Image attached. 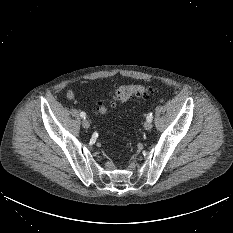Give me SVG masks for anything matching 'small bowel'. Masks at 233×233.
Here are the masks:
<instances>
[{
  "label": "small bowel",
  "mask_w": 233,
  "mask_h": 233,
  "mask_svg": "<svg viewBox=\"0 0 233 233\" xmlns=\"http://www.w3.org/2000/svg\"><path fill=\"white\" fill-rule=\"evenodd\" d=\"M73 95H74L73 91H70L69 92V97H73Z\"/></svg>",
  "instance_id": "1"
}]
</instances>
